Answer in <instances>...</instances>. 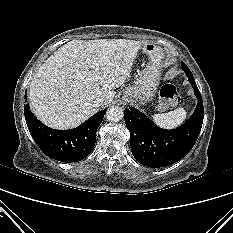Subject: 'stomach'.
I'll list each match as a JSON object with an SVG mask.
<instances>
[{"mask_svg": "<svg viewBox=\"0 0 233 233\" xmlns=\"http://www.w3.org/2000/svg\"><path fill=\"white\" fill-rule=\"evenodd\" d=\"M142 51L148 56L149 63L135 85L127 87L122 95L125 101L138 104L147 103L155 96L164 58L162 49L153 43H145Z\"/></svg>", "mask_w": 233, "mask_h": 233, "instance_id": "1", "label": "stomach"}]
</instances>
